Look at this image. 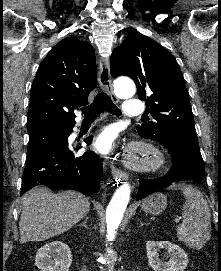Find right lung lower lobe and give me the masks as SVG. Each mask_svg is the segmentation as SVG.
I'll return each instance as SVG.
<instances>
[{
    "mask_svg": "<svg viewBox=\"0 0 221 271\" xmlns=\"http://www.w3.org/2000/svg\"><path fill=\"white\" fill-rule=\"evenodd\" d=\"M85 142L90 144L92 137L86 138ZM67 145L68 142L65 145L44 146L27 153L21 194L41 185L52 190L73 189L89 194L100 188L103 168L96 154L90 151L75 157L73 149ZM78 149L79 146L76 147Z\"/></svg>",
    "mask_w": 221,
    "mask_h": 271,
    "instance_id": "98d812e1",
    "label": "right lung lower lobe"
}]
</instances>
